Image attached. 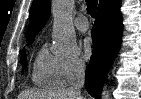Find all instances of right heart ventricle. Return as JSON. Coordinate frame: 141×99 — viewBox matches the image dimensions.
Here are the masks:
<instances>
[{"instance_id":"1","label":"right heart ventricle","mask_w":141,"mask_h":99,"mask_svg":"<svg viewBox=\"0 0 141 99\" xmlns=\"http://www.w3.org/2000/svg\"><path fill=\"white\" fill-rule=\"evenodd\" d=\"M32 81L41 88H59L64 84L62 58L43 45L36 54L32 68Z\"/></svg>"}]
</instances>
